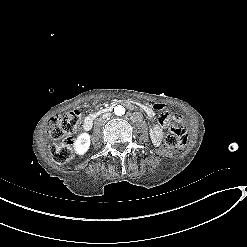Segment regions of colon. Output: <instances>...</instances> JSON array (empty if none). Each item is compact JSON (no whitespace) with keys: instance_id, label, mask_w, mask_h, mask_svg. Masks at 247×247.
<instances>
[{"instance_id":"1","label":"colon","mask_w":247,"mask_h":247,"mask_svg":"<svg viewBox=\"0 0 247 247\" xmlns=\"http://www.w3.org/2000/svg\"><path fill=\"white\" fill-rule=\"evenodd\" d=\"M152 107L156 111H163L165 104L161 100H156ZM81 122L82 116L79 110L56 116L50 121L48 134L54 141L50 145V152L57 164H66L72 159V133L80 126ZM187 140L186 126L178 124L171 127L170 132L165 136L164 142L168 149L173 150L185 146Z\"/></svg>"}]
</instances>
